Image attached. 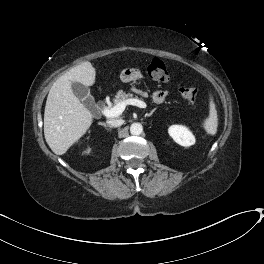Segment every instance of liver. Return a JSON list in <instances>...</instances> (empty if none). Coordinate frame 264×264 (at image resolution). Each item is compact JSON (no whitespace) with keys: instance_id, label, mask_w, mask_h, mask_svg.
I'll return each mask as SVG.
<instances>
[{"instance_id":"obj_1","label":"liver","mask_w":264,"mask_h":264,"mask_svg":"<svg viewBox=\"0 0 264 264\" xmlns=\"http://www.w3.org/2000/svg\"><path fill=\"white\" fill-rule=\"evenodd\" d=\"M96 71L86 61L60 76L52 85L44 112V135L47 144L57 155H63L93 123L91 112L72 90V82L85 86L95 83Z\"/></svg>"}]
</instances>
